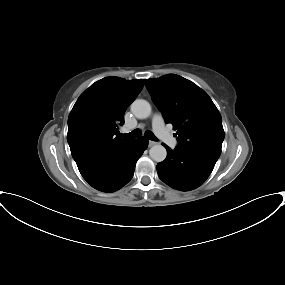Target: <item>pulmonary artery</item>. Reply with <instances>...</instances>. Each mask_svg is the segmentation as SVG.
<instances>
[{"label":"pulmonary artery","mask_w":285,"mask_h":285,"mask_svg":"<svg viewBox=\"0 0 285 285\" xmlns=\"http://www.w3.org/2000/svg\"><path fill=\"white\" fill-rule=\"evenodd\" d=\"M152 125L155 134L163 140L168 146L176 147L178 141L171 135L164 124V120L160 114H155L152 118Z\"/></svg>","instance_id":"1"}]
</instances>
